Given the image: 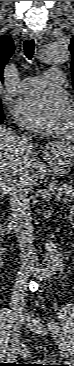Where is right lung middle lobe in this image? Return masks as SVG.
Here are the masks:
<instances>
[{
  "label": "right lung middle lobe",
  "mask_w": 74,
  "mask_h": 366,
  "mask_svg": "<svg viewBox=\"0 0 74 366\" xmlns=\"http://www.w3.org/2000/svg\"><path fill=\"white\" fill-rule=\"evenodd\" d=\"M2 116V109H1V107H0V117Z\"/></svg>",
  "instance_id": "1"
}]
</instances>
